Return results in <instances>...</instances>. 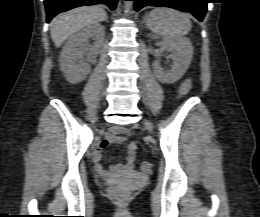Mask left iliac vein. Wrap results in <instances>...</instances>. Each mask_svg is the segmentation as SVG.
Here are the masks:
<instances>
[{"label":"left iliac vein","mask_w":260,"mask_h":217,"mask_svg":"<svg viewBox=\"0 0 260 217\" xmlns=\"http://www.w3.org/2000/svg\"><path fill=\"white\" fill-rule=\"evenodd\" d=\"M144 124H145L146 128H147L149 131L152 130V126H151V124H150L148 121H144Z\"/></svg>","instance_id":"left-iliac-vein-1"}]
</instances>
